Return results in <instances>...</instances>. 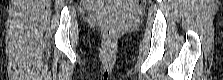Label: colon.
<instances>
[{"mask_svg":"<svg viewBox=\"0 0 223 80\" xmlns=\"http://www.w3.org/2000/svg\"><path fill=\"white\" fill-rule=\"evenodd\" d=\"M130 2L134 6H139L142 4L143 1L142 0H131ZM103 32L107 38H112L117 33V30L111 26H105L103 28Z\"/></svg>","mask_w":223,"mask_h":80,"instance_id":"1","label":"colon"}]
</instances>
